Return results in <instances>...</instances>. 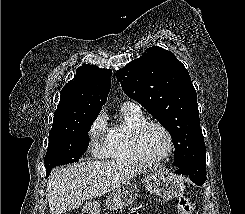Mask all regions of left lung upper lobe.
Masks as SVG:
<instances>
[{
    "mask_svg": "<svg viewBox=\"0 0 245 214\" xmlns=\"http://www.w3.org/2000/svg\"><path fill=\"white\" fill-rule=\"evenodd\" d=\"M116 76L126 95L141 103L170 133L177 167L205 157L197 94L187 69L173 53L152 46L116 71Z\"/></svg>",
    "mask_w": 245,
    "mask_h": 214,
    "instance_id": "1",
    "label": "left lung upper lobe"
}]
</instances>
